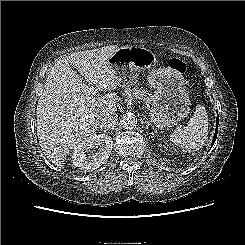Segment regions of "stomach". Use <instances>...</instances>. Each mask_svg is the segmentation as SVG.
<instances>
[{
	"label": "stomach",
	"instance_id": "obj_1",
	"mask_svg": "<svg viewBox=\"0 0 245 245\" xmlns=\"http://www.w3.org/2000/svg\"><path fill=\"white\" fill-rule=\"evenodd\" d=\"M156 63L155 53L140 46L121 47L108 60L116 82L122 88L133 86L139 72L150 71L147 80L155 89L150 118L155 127L164 130L186 118L191 103L182 74L170 68L154 70Z\"/></svg>",
	"mask_w": 245,
	"mask_h": 245
}]
</instances>
